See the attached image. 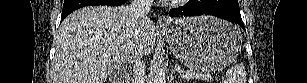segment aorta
Instances as JSON below:
<instances>
[{
	"instance_id": "1",
	"label": "aorta",
	"mask_w": 307,
	"mask_h": 83,
	"mask_svg": "<svg viewBox=\"0 0 307 83\" xmlns=\"http://www.w3.org/2000/svg\"><path fill=\"white\" fill-rule=\"evenodd\" d=\"M153 83H166L165 71L160 65L154 66Z\"/></svg>"
}]
</instances>
